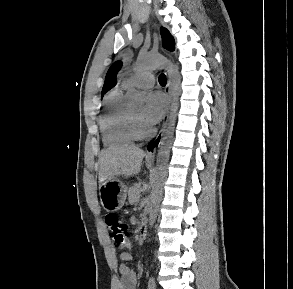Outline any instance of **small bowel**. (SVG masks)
Masks as SVG:
<instances>
[{"label": "small bowel", "mask_w": 293, "mask_h": 289, "mask_svg": "<svg viewBox=\"0 0 293 289\" xmlns=\"http://www.w3.org/2000/svg\"><path fill=\"white\" fill-rule=\"evenodd\" d=\"M128 241L126 246L130 247ZM121 264L119 266V277L116 279L114 289H136L138 278L135 271L127 264L132 260V255L129 251H123L119 256Z\"/></svg>", "instance_id": "small-bowel-1"}]
</instances>
